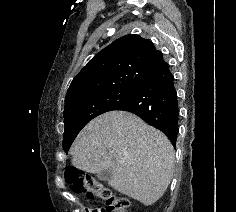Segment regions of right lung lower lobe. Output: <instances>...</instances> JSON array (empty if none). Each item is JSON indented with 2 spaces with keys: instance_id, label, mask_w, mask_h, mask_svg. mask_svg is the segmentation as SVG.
Here are the masks:
<instances>
[{
  "instance_id": "1",
  "label": "right lung lower lobe",
  "mask_w": 236,
  "mask_h": 212,
  "mask_svg": "<svg viewBox=\"0 0 236 212\" xmlns=\"http://www.w3.org/2000/svg\"><path fill=\"white\" fill-rule=\"evenodd\" d=\"M115 110L136 114L161 130L175 147L179 108L174 77L164 60L135 86L130 98Z\"/></svg>"
}]
</instances>
